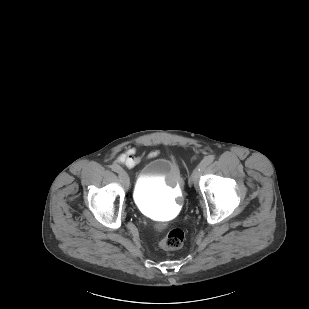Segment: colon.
<instances>
[{
    "label": "colon",
    "instance_id": "obj_1",
    "mask_svg": "<svg viewBox=\"0 0 309 309\" xmlns=\"http://www.w3.org/2000/svg\"><path fill=\"white\" fill-rule=\"evenodd\" d=\"M196 160V157L193 158ZM165 228V224L160 223L156 226L158 231H161ZM185 239V234L183 230L179 228L172 229L168 234L159 241L160 248L164 250H175L182 246Z\"/></svg>",
    "mask_w": 309,
    "mask_h": 309
}]
</instances>
